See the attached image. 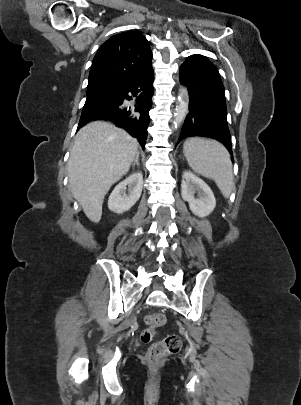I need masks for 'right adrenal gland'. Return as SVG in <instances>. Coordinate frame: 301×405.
<instances>
[{"mask_svg":"<svg viewBox=\"0 0 301 405\" xmlns=\"http://www.w3.org/2000/svg\"><path fill=\"white\" fill-rule=\"evenodd\" d=\"M135 165H137L138 167H139V151H137L136 152V156H135V159H134V161H133V163H132V167L134 168L135 167Z\"/></svg>","mask_w":301,"mask_h":405,"instance_id":"right-adrenal-gland-1","label":"right adrenal gland"}]
</instances>
